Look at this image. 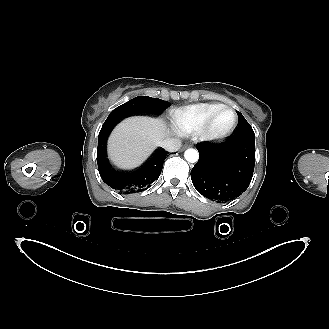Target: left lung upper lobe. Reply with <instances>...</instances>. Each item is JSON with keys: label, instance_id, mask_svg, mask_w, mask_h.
<instances>
[{"label": "left lung upper lobe", "instance_id": "5c2ea615", "mask_svg": "<svg viewBox=\"0 0 329 329\" xmlns=\"http://www.w3.org/2000/svg\"><path fill=\"white\" fill-rule=\"evenodd\" d=\"M238 114V127L234 133L233 136H237V135H255L254 131L252 129V127L250 126V124L246 121V119L244 118V116L240 113L237 112Z\"/></svg>", "mask_w": 329, "mask_h": 329}]
</instances>
